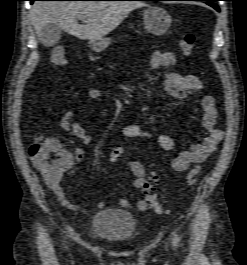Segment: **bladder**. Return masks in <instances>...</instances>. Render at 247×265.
Instances as JSON below:
<instances>
[{
    "mask_svg": "<svg viewBox=\"0 0 247 265\" xmlns=\"http://www.w3.org/2000/svg\"><path fill=\"white\" fill-rule=\"evenodd\" d=\"M137 223L130 211L106 208L95 212L91 221V233L112 241H127L135 237Z\"/></svg>",
    "mask_w": 247,
    "mask_h": 265,
    "instance_id": "1",
    "label": "bladder"
}]
</instances>
